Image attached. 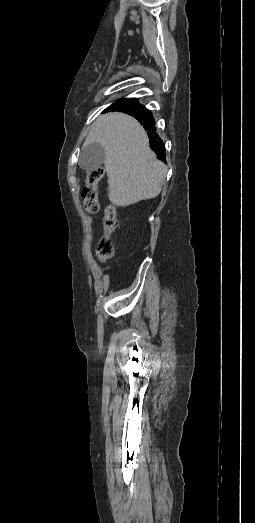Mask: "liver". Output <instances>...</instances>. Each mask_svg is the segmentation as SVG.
Segmentation results:
<instances>
[{
    "instance_id": "1",
    "label": "liver",
    "mask_w": 255,
    "mask_h": 523,
    "mask_svg": "<svg viewBox=\"0 0 255 523\" xmlns=\"http://www.w3.org/2000/svg\"><path fill=\"white\" fill-rule=\"evenodd\" d=\"M98 142L105 150L109 200L115 206H129L159 196L167 166L149 148L141 124L120 112L99 116L84 144Z\"/></svg>"
}]
</instances>
